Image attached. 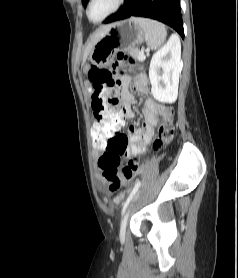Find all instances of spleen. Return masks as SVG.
<instances>
[{
	"label": "spleen",
	"mask_w": 238,
	"mask_h": 278,
	"mask_svg": "<svg viewBox=\"0 0 238 278\" xmlns=\"http://www.w3.org/2000/svg\"><path fill=\"white\" fill-rule=\"evenodd\" d=\"M134 20L143 28L149 48L156 50L164 43L167 31L162 23L146 18H134Z\"/></svg>",
	"instance_id": "obj_1"
}]
</instances>
